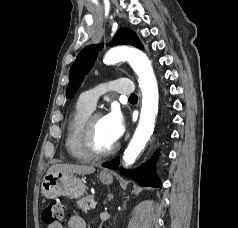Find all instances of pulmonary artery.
Masks as SVG:
<instances>
[{
    "label": "pulmonary artery",
    "instance_id": "e3ab8cb5",
    "mask_svg": "<svg viewBox=\"0 0 238 228\" xmlns=\"http://www.w3.org/2000/svg\"><path fill=\"white\" fill-rule=\"evenodd\" d=\"M108 88L112 91L118 92L122 95H131L133 94L134 86L130 79L127 78H119L114 79L108 83ZM100 96L99 88H92L83 94H81L79 100L89 107L90 109H94L96 102Z\"/></svg>",
    "mask_w": 238,
    "mask_h": 228
}]
</instances>
